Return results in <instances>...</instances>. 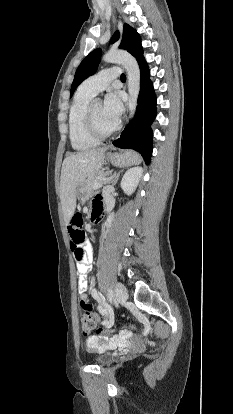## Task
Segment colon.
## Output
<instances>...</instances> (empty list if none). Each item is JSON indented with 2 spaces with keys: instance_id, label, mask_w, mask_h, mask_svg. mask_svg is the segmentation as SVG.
<instances>
[{
  "instance_id": "5ec220e1",
  "label": "colon",
  "mask_w": 233,
  "mask_h": 414,
  "mask_svg": "<svg viewBox=\"0 0 233 414\" xmlns=\"http://www.w3.org/2000/svg\"><path fill=\"white\" fill-rule=\"evenodd\" d=\"M83 218L77 213L71 219L69 225L70 244L73 253L78 260H82L85 256L84 245L86 243V234L82 230ZM83 313L81 315V326L84 334H88L93 330L97 333H103L104 328L99 326V319L93 312L92 304L87 298L81 300Z\"/></svg>"
}]
</instances>
